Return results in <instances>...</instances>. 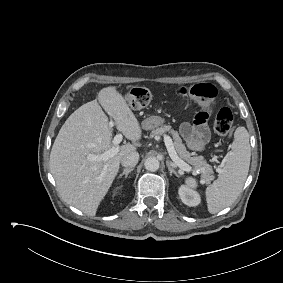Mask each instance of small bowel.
<instances>
[{
	"mask_svg": "<svg viewBox=\"0 0 283 283\" xmlns=\"http://www.w3.org/2000/svg\"><path fill=\"white\" fill-rule=\"evenodd\" d=\"M189 98L193 99L192 97ZM207 120L208 114L200 112L195 116L193 124L185 122L180 126L182 137L193 151H202L209 140L210 132Z\"/></svg>",
	"mask_w": 283,
	"mask_h": 283,
	"instance_id": "1",
	"label": "small bowel"
}]
</instances>
